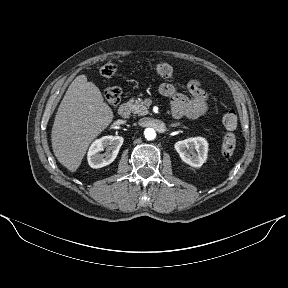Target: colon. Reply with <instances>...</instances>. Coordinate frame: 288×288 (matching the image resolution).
Instances as JSON below:
<instances>
[{"mask_svg":"<svg viewBox=\"0 0 288 288\" xmlns=\"http://www.w3.org/2000/svg\"><path fill=\"white\" fill-rule=\"evenodd\" d=\"M156 75L160 78H170L173 75V67L165 62L158 63L154 67ZM99 73L104 78H111L118 73V65L113 62L105 63L101 66ZM106 101L111 105H116L121 99L122 91L117 86L107 87L103 91ZM222 123L224 127L230 131L226 133L222 139L221 151L225 157H231L236 148V138L231 132L238 124V117L234 110H228L222 118Z\"/></svg>","mask_w":288,"mask_h":288,"instance_id":"obj_1","label":"colon"}]
</instances>
